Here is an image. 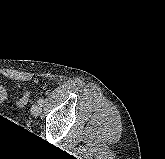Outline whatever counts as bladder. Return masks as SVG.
<instances>
[{
    "label": "bladder",
    "instance_id": "31cf9c89",
    "mask_svg": "<svg viewBox=\"0 0 165 159\" xmlns=\"http://www.w3.org/2000/svg\"><path fill=\"white\" fill-rule=\"evenodd\" d=\"M3 93H4V89L3 87L0 86V97H2Z\"/></svg>",
    "mask_w": 165,
    "mask_h": 159
}]
</instances>
